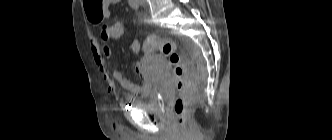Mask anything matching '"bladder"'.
<instances>
[{
	"label": "bladder",
	"mask_w": 332,
	"mask_h": 140,
	"mask_svg": "<svg viewBox=\"0 0 332 140\" xmlns=\"http://www.w3.org/2000/svg\"><path fill=\"white\" fill-rule=\"evenodd\" d=\"M132 103L136 108L146 111H156L159 109V93L153 91L146 95L144 100H134Z\"/></svg>",
	"instance_id": "1"
}]
</instances>
